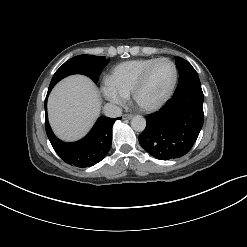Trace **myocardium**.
I'll return each instance as SVG.
<instances>
[{
    "label": "myocardium",
    "mask_w": 247,
    "mask_h": 247,
    "mask_svg": "<svg viewBox=\"0 0 247 247\" xmlns=\"http://www.w3.org/2000/svg\"><path fill=\"white\" fill-rule=\"evenodd\" d=\"M160 61H167L173 67L172 83H171L167 93L164 95V97L160 101H158L157 103L152 104V105H144V104L139 102V99H138L139 93L146 82V79L148 77L149 72L151 71L153 66ZM177 80H178V69H177L175 62L172 61L171 59L167 58V57L156 58L153 62H151L148 66L145 67V69L142 71V73L138 77L136 83L134 84V86L131 90V99H132L134 105L138 109H140L141 111H143V112H155V111L161 109L169 101V99L171 98V96L175 90Z\"/></svg>",
    "instance_id": "obj_1"
}]
</instances>
